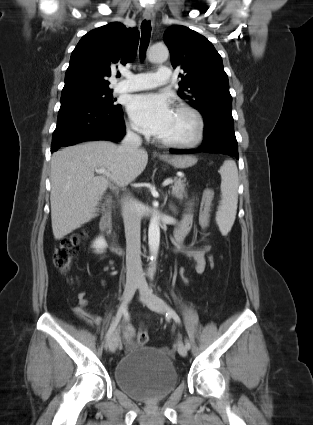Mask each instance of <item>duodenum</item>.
Returning <instances> with one entry per match:
<instances>
[{"mask_svg": "<svg viewBox=\"0 0 313 425\" xmlns=\"http://www.w3.org/2000/svg\"><path fill=\"white\" fill-rule=\"evenodd\" d=\"M111 203H112V199L109 198L107 205L105 207V210L103 212L102 218H101L100 226H101V229L104 232V234L107 235L108 238L110 239L112 249L119 252L121 249H120V247L117 243L116 237H115L113 230H112Z\"/></svg>", "mask_w": 313, "mask_h": 425, "instance_id": "410a0bca", "label": "duodenum"}]
</instances>
